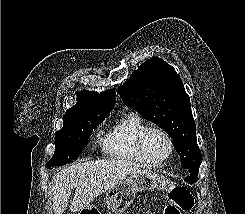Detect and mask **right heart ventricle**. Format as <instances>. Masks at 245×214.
Masks as SVG:
<instances>
[{"label":"right heart ventricle","instance_id":"1","mask_svg":"<svg viewBox=\"0 0 245 214\" xmlns=\"http://www.w3.org/2000/svg\"><path fill=\"white\" fill-rule=\"evenodd\" d=\"M147 127V123L139 114H124L102 139L104 151L119 160L148 165L142 158L137 144L140 133Z\"/></svg>","mask_w":245,"mask_h":214}]
</instances>
